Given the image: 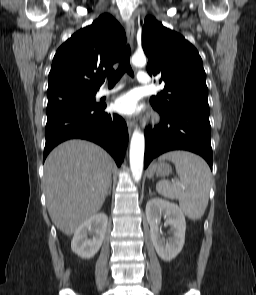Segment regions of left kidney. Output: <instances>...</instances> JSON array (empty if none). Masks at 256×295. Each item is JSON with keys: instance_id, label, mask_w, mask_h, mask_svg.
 Listing matches in <instances>:
<instances>
[{"instance_id": "left-kidney-1", "label": "left kidney", "mask_w": 256, "mask_h": 295, "mask_svg": "<svg viewBox=\"0 0 256 295\" xmlns=\"http://www.w3.org/2000/svg\"><path fill=\"white\" fill-rule=\"evenodd\" d=\"M171 226L172 236L165 241L160 235V216ZM146 218L150 225V236L158 256L164 261L173 260L185 242L186 221L182 210L175 203L161 198H152L146 204Z\"/></svg>"}]
</instances>
